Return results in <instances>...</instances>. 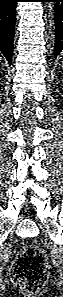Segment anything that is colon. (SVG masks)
<instances>
[{
	"label": "colon",
	"instance_id": "obj_1",
	"mask_svg": "<svg viewBox=\"0 0 63 297\" xmlns=\"http://www.w3.org/2000/svg\"><path fill=\"white\" fill-rule=\"evenodd\" d=\"M11 276L21 290L28 293L37 292L48 276L44 251L36 245L25 246L14 261Z\"/></svg>",
	"mask_w": 63,
	"mask_h": 297
}]
</instances>
